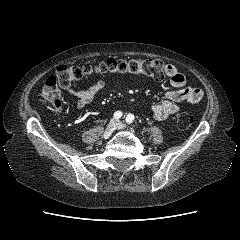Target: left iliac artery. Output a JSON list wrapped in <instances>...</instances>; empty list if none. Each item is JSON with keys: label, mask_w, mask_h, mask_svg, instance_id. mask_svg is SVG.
Masks as SVG:
<instances>
[{"label": "left iliac artery", "mask_w": 240, "mask_h": 240, "mask_svg": "<svg viewBox=\"0 0 240 240\" xmlns=\"http://www.w3.org/2000/svg\"><path fill=\"white\" fill-rule=\"evenodd\" d=\"M126 122L128 123V124H131L133 121H134V115L133 114H128L127 116H126Z\"/></svg>", "instance_id": "1"}]
</instances>
